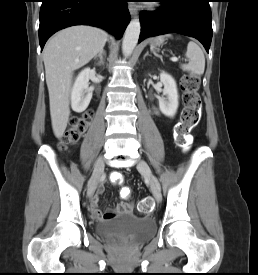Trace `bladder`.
<instances>
[{"label":"bladder","instance_id":"31cf9c89","mask_svg":"<svg viewBox=\"0 0 258 275\" xmlns=\"http://www.w3.org/2000/svg\"><path fill=\"white\" fill-rule=\"evenodd\" d=\"M95 232L100 237L124 233L136 241H144L154 235L155 221L151 217L125 213L115 218L98 221L95 225Z\"/></svg>","mask_w":258,"mask_h":275}]
</instances>
